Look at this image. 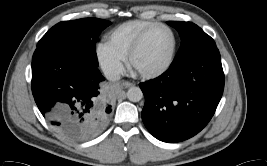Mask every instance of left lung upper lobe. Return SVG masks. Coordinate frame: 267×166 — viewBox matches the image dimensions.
I'll return each instance as SVG.
<instances>
[{
    "label": "left lung upper lobe",
    "mask_w": 267,
    "mask_h": 166,
    "mask_svg": "<svg viewBox=\"0 0 267 166\" xmlns=\"http://www.w3.org/2000/svg\"><path fill=\"white\" fill-rule=\"evenodd\" d=\"M167 23L177 29L181 37V46L173 62H181L204 49L216 47L214 40L194 23L179 21Z\"/></svg>",
    "instance_id": "left-lung-upper-lobe-1"
}]
</instances>
